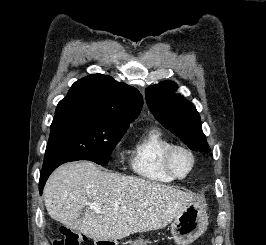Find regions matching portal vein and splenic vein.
I'll return each mask as SVG.
<instances>
[{"instance_id":"1","label":"portal vein and splenic vein","mask_w":266,"mask_h":245,"mask_svg":"<svg viewBox=\"0 0 266 245\" xmlns=\"http://www.w3.org/2000/svg\"><path fill=\"white\" fill-rule=\"evenodd\" d=\"M90 209H92V211H95V213H101V209L99 207V205H97V203H91V205H89Z\"/></svg>"}]
</instances>
